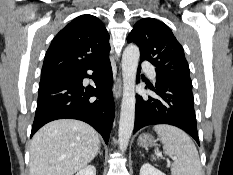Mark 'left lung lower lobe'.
<instances>
[{
  "mask_svg": "<svg viewBox=\"0 0 233 175\" xmlns=\"http://www.w3.org/2000/svg\"><path fill=\"white\" fill-rule=\"evenodd\" d=\"M141 66L138 67L140 72ZM137 77V82H138ZM154 90L160 97L136 96L135 125L133 133L155 124H169L181 128L199 144L194 111L192 84L157 76Z\"/></svg>",
  "mask_w": 233,
  "mask_h": 175,
  "instance_id": "obj_1",
  "label": "left lung lower lobe"
}]
</instances>
